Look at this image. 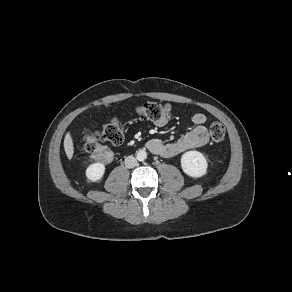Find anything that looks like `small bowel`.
Returning <instances> with one entry per match:
<instances>
[{"instance_id":"c3829d8e","label":"small bowel","mask_w":292,"mask_h":292,"mask_svg":"<svg viewBox=\"0 0 292 292\" xmlns=\"http://www.w3.org/2000/svg\"><path fill=\"white\" fill-rule=\"evenodd\" d=\"M168 119L155 122L157 126H164ZM194 127L191 131L180 136L174 142H164L161 139H152L148 142V149L161 157H173L187 150L201 147L208 143L209 136L207 130V117L202 113H197L192 117Z\"/></svg>"}]
</instances>
